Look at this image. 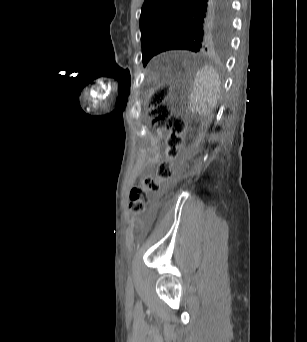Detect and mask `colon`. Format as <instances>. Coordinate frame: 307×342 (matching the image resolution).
Segmentation results:
<instances>
[{
	"label": "colon",
	"mask_w": 307,
	"mask_h": 342,
	"mask_svg": "<svg viewBox=\"0 0 307 342\" xmlns=\"http://www.w3.org/2000/svg\"><path fill=\"white\" fill-rule=\"evenodd\" d=\"M170 87H150V113L154 125L158 129L168 132L166 138V159L162 160L154 175H144L139 184L132 187L130 192V209L135 214L147 211L150 205V196L160 189L159 184L170 179L174 175L173 160L179 155V149L183 142V132L186 125L167 105Z\"/></svg>",
	"instance_id": "obj_1"
}]
</instances>
